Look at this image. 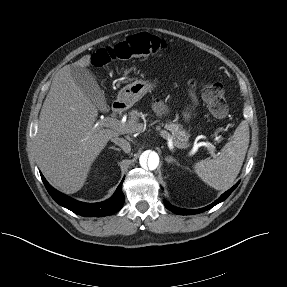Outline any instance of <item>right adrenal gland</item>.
<instances>
[{
    "label": "right adrenal gland",
    "instance_id": "right-adrenal-gland-1",
    "mask_svg": "<svg viewBox=\"0 0 287 287\" xmlns=\"http://www.w3.org/2000/svg\"><path fill=\"white\" fill-rule=\"evenodd\" d=\"M109 149H113V150H115V151H121L120 148H117V147H115V146H110Z\"/></svg>",
    "mask_w": 287,
    "mask_h": 287
}]
</instances>
